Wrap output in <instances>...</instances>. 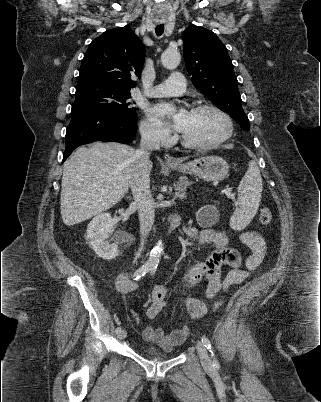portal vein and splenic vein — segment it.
<instances>
[{
  "mask_svg": "<svg viewBox=\"0 0 321 402\" xmlns=\"http://www.w3.org/2000/svg\"><path fill=\"white\" fill-rule=\"evenodd\" d=\"M231 188H226L222 190V193H224L227 197L229 198H234V195L231 193Z\"/></svg>",
  "mask_w": 321,
  "mask_h": 402,
  "instance_id": "1",
  "label": "portal vein and splenic vein"
}]
</instances>
